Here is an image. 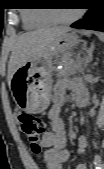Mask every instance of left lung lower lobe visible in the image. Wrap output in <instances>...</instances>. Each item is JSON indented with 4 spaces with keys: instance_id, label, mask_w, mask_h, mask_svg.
Returning a JSON list of instances; mask_svg holds the SVG:
<instances>
[{
    "instance_id": "left-lung-lower-lobe-1",
    "label": "left lung lower lobe",
    "mask_w": 104,
    "mask_h": 169,
    "mask_svg": "<svg viewBox=\"0 0 104 169\" xmlns=\"http://www.w3.org/2000/svg\"><path fill=\"white\" fill-rule=\"evenodd\" d=\"M73 28L104 31V10L92 8L81 20L71 25Z\"/></svg>"
}]
</instances>
